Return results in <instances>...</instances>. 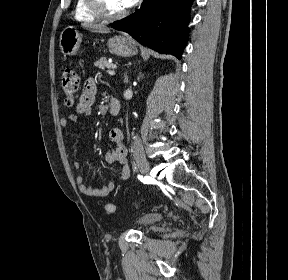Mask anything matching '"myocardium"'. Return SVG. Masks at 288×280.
I'll return each instance as SVG.
<instances>
[{
	"label": "myocardium",
	"mask_w": 288,
	"mask_h": 280,
	"mask_svg": "<svg viewBox=\"0 0 288 280\" xmlns=\"http://www.w3.org/2000/svg\"><path fill=\"white\" fill-rule=\"evenodd\" d=\"M86 3L90 12L99 19L117 20L127 14L126 10L114 14L107 12L102 0H86Z\"/></svg>",
	"instance_id": "1"
}]
</instances>
